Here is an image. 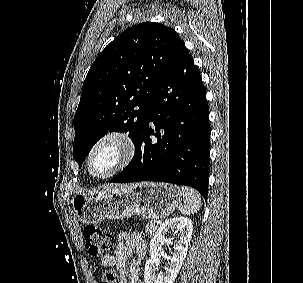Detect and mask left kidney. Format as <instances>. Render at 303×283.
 Instances as JSON below:
<instances>
[{
  "label": "left kidney",
  "instance_id": "1",
  "mask_svg": "<svg viewBox=\"0 0 303 283\" xmlns=\"http://www.w3.org/2000/svg\"><path fill=\"white\" fill-rule=\"evenodd\" d=\"M193 231L192 220L187 217H178L166 220L160 225L150 242V259L145 264V283H173L186 257ZM173 232L178 241L174 245L171 256L163 272L156 273L160 264L159 253L166 242V234Z\"/></svg>",
  "mask_w": 303,
  "mask_h": 283
}]
</instances>
